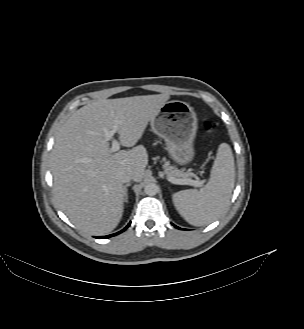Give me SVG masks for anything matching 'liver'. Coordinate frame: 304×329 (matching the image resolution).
<instances>
[{"label":"liver","mask_w":304,"mask_h":329,"mask_svg":"<svg viewBox=\"0 0 304 329\" xmlns=\"http://www.w3.org/2000/svg\"><path fill=\"white\" fill-rule=\"evenodd\" d=\"M168 94L93 101L73 113L58 131L51 155L53 191L60 209L80 230L104 235L123 214L124 186L119 173L130 171L140 182L148 164L144 146L136 145ZM118 127L122 146L111 151L105 131Z\"/></svg>","instance_id":"liver-1"}]
</instances>
